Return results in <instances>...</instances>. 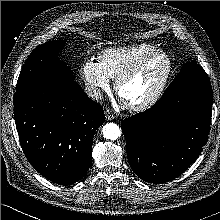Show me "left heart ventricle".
<instances>
[{"label": "left heart ventricle", "instance_id": "b2bd125f", "mask_svg": "<svg viewBox=\"0 0 220 220\" xmlns=\"http://www.w3.org/2000/svg\"><path fill=\"white\" fill-rule=\"evenodd\" d=\"M167 67L168 62L164 56L152 57L137 75L123 85L121 98L126 103H135L148 97L160 83Z\"/></svg>", "mask_w": 220, "mask_h": 220}]
</instances>
